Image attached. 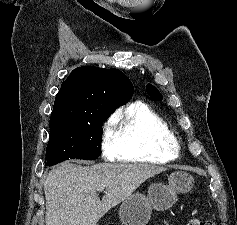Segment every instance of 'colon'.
<instances>
[{
	"label": "colon",
	"instance_id": "obj_1",
	"mask_svg": "<svg viewBox=\"0 0 237 225\" xmlns=\"http://www.w3.org/2000/svg\"><path fill=\"white\" fill-rule=\"evenodd\" d=\"M190 225H216V224L212 220L194 218L191 220Z\"/></svg>",
	"mask_w": 237,
	"mask_h": 225
}]
</instances>
